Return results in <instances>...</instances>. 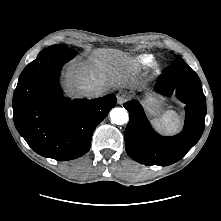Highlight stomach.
Here are the masks:
<instances>
[{"mask_svg": "<svg viewBox=\"0 0 221 221\" xmlns=\"http://www.w3.org/2000/svg\"><path fill=\"white\" fill-rule=\"evenodd\" d=\"M144 104L148 113L152 116H158L159 114H161L165 107V103L155 97H148L144 101Z\"/></svg>", "mask_w": 221, "mask_h": 221, "instance_id": "1", "label": "stomach"}]
</instances>
